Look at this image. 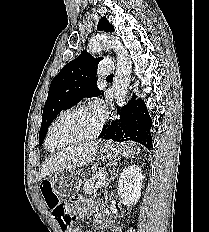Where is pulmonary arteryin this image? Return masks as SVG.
<instances>
[{"label": "pulmonary artery", "mask_w": 209, "mask_h": 232, "mask_svg": "<svg viewBox=\"0 0 209 232\" xmlns=\"http://www.w3.org/2000/svg\"><path fill=\"white\" fill-rule=\"evenodd\" d=\"M113 68V63L110 60H104L100 63L98 71L101 75H108L112 73Z\"/></svg>", "instance_id": "pulmonary-artery-1"}]
</instances>
